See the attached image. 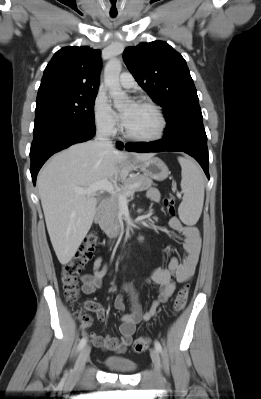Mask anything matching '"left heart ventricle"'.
<instances>
[{"instance_id": "left-heart-ventricle-1", "label": "left heart ventricle", "mask_w": 261, "mask_h": 399, "mask_svg": "<svg viewBox=\"0 0 261 399\" xmlns=\"http://www.w3.org/2000/svg\"><path fill=\"white\" fill-rule=\"evenodd\" d=\"M123 114L127 115V119L124 122L125 126L134 135L149 136L154 134L159 128L157 115L146 106L128 104L124 107Z\"/></svg>"}]
</instances>
